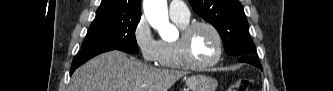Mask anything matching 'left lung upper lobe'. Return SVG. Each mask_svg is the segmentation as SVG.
Returning a JSON list of instances; mask_svg holds the SVG:
<instances>
[{"instance_id": "obj_1", "label": "left lung upper lobe", "mask_w": 333, "mask_h": 91, "mask_svg": "<svg viewBox=\"0 0 333 91\" xmlns=\"http://www.w3.org/2000/svg\"><path fill=\"white\" fill-rule=\"evenodd\" d=\"M193 10L221 35L225 52L237 57L253 55L248 22L239 0H189Z\"/></svg>"}]
</instances>
